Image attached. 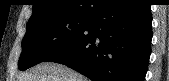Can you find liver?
I'll return each instance as SVG.
<instances>
[{"mask_svg": "<svg viewBox=\"0 0 169 81\" xmlns=\"http://www.w3.org/2000/svg\"><path fill=\"white\" fill-rule=\"evenodd\" d=\"M17 81H88L87 77L54 62L40 63L19 75Z\"/></svg>", "mask_w": 169, "mask_h": 81, "instance_id": "liver-1", "label": "liver"}]
</instances>
